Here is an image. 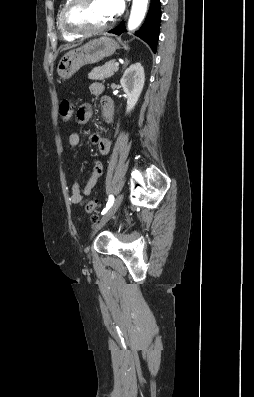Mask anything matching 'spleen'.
Segmentation results:
<instances>
[{
    "label": "spleen",
    "instance_id": "1",
    "mask_svg": "<svg viewBox=\"0 0 254 397\" xmlns=\"http://www.w3.org/2000/svg\"><path fill=\"white\" fill-rule=\"evenodd\" d=\"M124 47H125L126 49H128V47H127L126 45H124Z\"/></svg>",
    "mask_w": 254,
    "mask_h": 397
}]
</instances>
